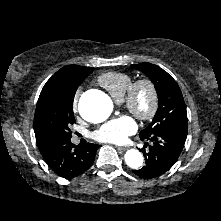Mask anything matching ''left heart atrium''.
Returning <instances> with one entry per match:
<instances>
[{
	"label": "left heart atrium",
	"mask_w": 221,
	"mask_h": 221,
	"mask_svg": "<svg viewBox=\"0 0 221 221\" xmlns=\"http://www.w3.org/2000/svg\"><path fill=\"white\" fill-rule=\"evenodd\" d=\"M137 129L136 122L128 115H122L103 124L94 133V137L102 142L121 144Z\"/></svg>",
	"instance_id": "obj_1"
}]
</instances>
